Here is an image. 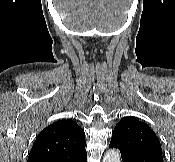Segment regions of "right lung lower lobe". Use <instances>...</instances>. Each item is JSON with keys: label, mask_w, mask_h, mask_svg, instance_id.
I'll return each instance as SVG.
<instances>
[{"label": "right lung lower lobe", "mask_w": 175, "mask_h": 162, "mask_svg": "<svg viewBox=\"0 0 175 162\" xmlns=\"http://www.w3.org/2000/svg\"><path fill=\"white\" fill-rule=\"evenodd\" d=\"M60 162H64V161H60ZM75 162H87V155L83 156L79 160H76Z\"/></svg>", "instance_id": "right-lung-lower-lobe-1"}]
</instances>
